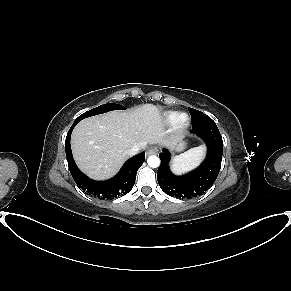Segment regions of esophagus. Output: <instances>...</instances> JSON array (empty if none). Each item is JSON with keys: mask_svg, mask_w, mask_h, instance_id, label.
<instances>
[{"mask_svg": "<svg viewBox=\"0 0 291 291\" xmlns=\"http://www.w3.org/2000/svg\"><path fill=\"white\" fill-rule=\"evenodd\" d=\"M157 151H158L157 148H150L147 151V155L156 154Z\"/></svg>", "mask_w": 291, "mask_h": 291, "instance_id": "obj_1", "label": "esophagus"}]
</instances>
